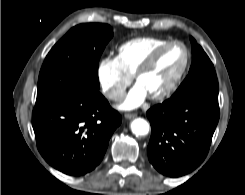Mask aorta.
Segmentation results:
<instances>
[{
	"instance_id": "1",
	"label": "aorta",
	"mask_w": 245,
	"mask_h": 195,
	"mask_svg": "<svg viewBox=\"0 0 245 195\" xmlns=\"http://www.w3.org/2000/svg\"><path fill=\"white\" fill-rule=\"evenodd\" d=\"M150 126L148 122L143 118H136L131 122V130L137 136L147 135Z\"/></svg>"
}]
</instances>
